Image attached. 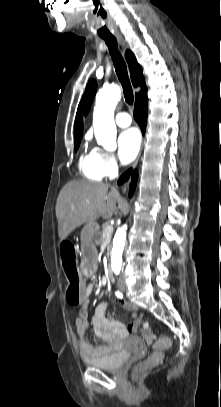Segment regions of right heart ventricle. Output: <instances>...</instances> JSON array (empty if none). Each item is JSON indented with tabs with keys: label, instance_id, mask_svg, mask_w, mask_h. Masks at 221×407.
<instances>
[{
	"label": "right heart ventricle",
	"instance_id": "obj_1",
	"mask_svg": "<svg viewBox=\"0 0 221 407\" xmlns=\"http://www.w3.org/2000/svg\"><path fill=\"white\" fill-rule=\"evenodd\" d=\"M79 169L83 176L89 180L101 181L105 177L98 167L93 151L85 153L80 157Z\"/></svg>",
	"mask_w": 221,
	"mask_h": 407
}]
</instances>
